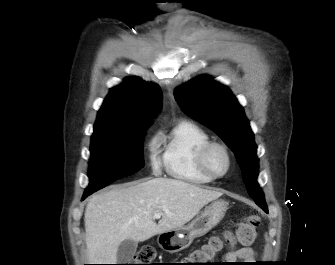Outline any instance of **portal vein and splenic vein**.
<instances>
[{
  "label": "portal vein and splenic vein",
  "mask_w": 335,
  "mask_h": 265,
  "mask_svg": "<svg viewBox=\"0 0 335 265\" xmlns=\"http://www.w3.org/2000/svg\"><path fill=\"white\" fill-rule=\"evenodd\" d=\"M161 215H162L161 213H155V214H154V218H155V219H160V218H161Z\"/></svg>",
  "instance_id": "1"
}]
</instances>
